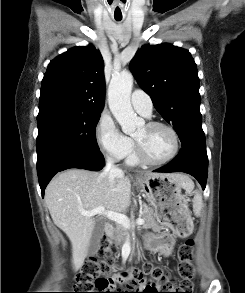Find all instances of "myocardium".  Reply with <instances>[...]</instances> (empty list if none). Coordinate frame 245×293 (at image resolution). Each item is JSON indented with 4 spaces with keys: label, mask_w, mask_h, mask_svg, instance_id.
<instances>
[{
    "label": "myocardium",
    "mask_w": 245,
    "mask_h": 293,
    "mask_svg": "<svg viewBox=\"0 0 245 293\" xmlns=\"http://www.w3.org/2000/svg\"><path fill=\"white\" fill-rule=\"evenodd\" d=\"M145 126L147 128L161 127V128L168 130L172 136V139H173V149H172V152L170 153V155L167 156L166 158L161 159V160H151L144 155V153L141 150L140 145L135 140V154H136L138 160L144 164H147V165L159 166V165H164L166 163H169L170 161L175 159L179 153V150H180V139H179V135H178L177 131L169 124H166L163 122H149Z\"/></svg>",
    "instance_id": "obj_1"
}]
</instances>
